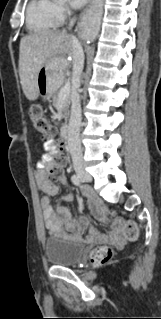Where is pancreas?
Wrapping results in <instances>:
<instances>
[{
    "label": "pancreas",
    "instance_id": "obj_1",
    "mask_svg": "<svg viewBox=\"0 0 161 319\" xmlns=\"http://www.w3.org/2000/svg\"><path fill=\"white\" fill-rule=\"evenodd\" d=\"M59 92H56L54 95H52V102L54 106H59L60 102H59ZM69 105H70V99L69 97H67L66 99H64L62 105H61V109H62V118H64L65 120H67L68 117V109H69Z\"/></svg>",
    "mask_w": 161,
    "mask_h": 319
}]
</instances>
